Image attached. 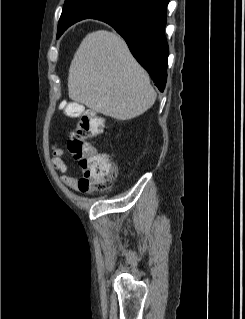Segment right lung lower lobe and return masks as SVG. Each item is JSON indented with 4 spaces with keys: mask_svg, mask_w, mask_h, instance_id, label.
Listing matches in <instances>:
<instances>
[{
    "mask_svg": "<svg viewBox=\"0 0 245 319\" xmlns=\"http://www.w3.org/2000/svg\"><path fill=\"white\" fill-rule=\"evenodd\" d=\"M169 0H127L95 17L111 25L162 92L167 79L168 44L164 34Z\"/></svg>",
    "mask_w": 245,
    "mask_h": 319,
    "instance_id": "1",
    "label": "right lung lower lobe"
}]
</instances>
